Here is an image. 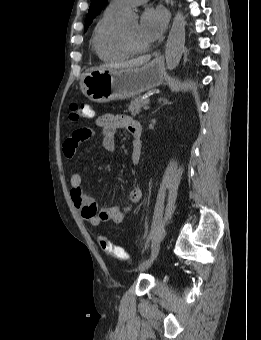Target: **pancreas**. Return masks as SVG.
<instances>
[{"instance_id": "obj_1", "label": "pancreas", "mask_w": 261, "mask_h": 340, "mask_svg": "<svg viewBox=\"0 0 261 340\" xmlns=\"http://www.w3.org/2000/svg\"><path fill=\"white\" fill-rule=\"evenodd\" d=\"M148 102H149L148 99L143 100L141 97L134 98L130 102L128 106V110L131 112L132 116L139 115L141 112V108L145 106L146 104H148Z\"/></svg>"}]
</instances>
